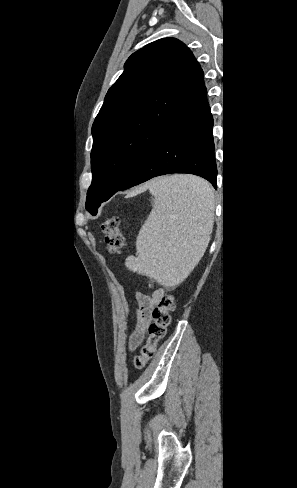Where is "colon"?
<instances>
[{
	"mask_svg": "<svg viewBox=\"0 0 297 488\" xmlns=\"http://www.w3.org/2000/svg\"><path fill=\"white\" fill-rule=\"evenodd\" d=\"M102 231L105 234V243L111 254H119L124 246V237L120 232V219L117 216H109L102 223ZM175 308V299L172 295L163 296L152 313V322L149 326V337L141 348L140 354L134 357V367L143 368L153 358L157 345L166 334L171 322V312Z\"/></svg>",
	"mask_w": 297,
	"mask_h": 488,
	"instance_id": "1",
	"label": "colon"
}]
</instances>
